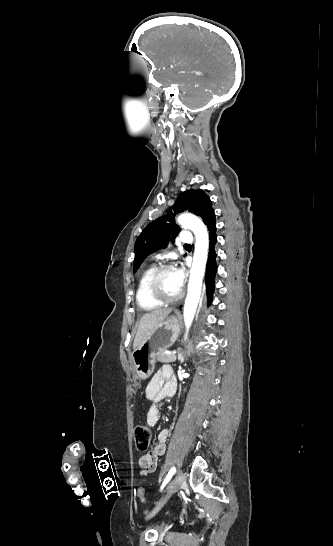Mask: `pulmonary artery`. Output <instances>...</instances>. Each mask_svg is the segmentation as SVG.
<instances>
[{
    "mask_svg": "<svg viewBox=\"0 0 333 546\" xmlns=\"http://www.w3.org/2000/svg\"><path fill=\"white\" fill-rule=\"evenodd\" d=\"M179 241L181 243L189 244L193 241L192 233L189 231H183L179 235Z\"/></svg>",
    "mask_w": 333,
    "mask_h": 546,
    "instance_id": "pulmonary-artery-1",
    "label": "pulmonary artery"
}]
</instances>
